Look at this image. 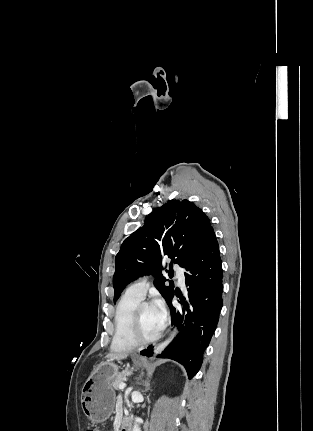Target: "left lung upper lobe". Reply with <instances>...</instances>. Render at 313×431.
<instances>
[{"instance_id": "5c2ea615", "label": "left lung upper lobe", "mask_w": 313, "mask_h": 431, "mask_svg": "<svg viewBox=\"0 0 313 431\" xmlns=\"http://www.w3.org/2000/svg\"><path fill=\"white\" fill-rule=\"evenodd\" d=\"M211 223L205 213L188 200H170L156 208L144 226L124 240L115 258L114 302L124 287L139 276L152 274L154 284L169 301L174 284L166 287L161 270L165 257L185 267L200 248Z\"/></svg>"}]
</instances>
